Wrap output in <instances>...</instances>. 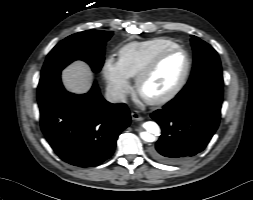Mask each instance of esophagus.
<instances>
[{"mask_svg":"<svg viewBox=\"0 0 253 200\" xmlns=\"http://www.w3.org/2000/svg\"><path fill=\"white\" fill-rule=\"evenodd\" d=\"M131 118L134 121H142L143 120V117L137 112H132L131 113Z\"/></svg>","mask_w":253,"mask_h":200,"instance_id":"esophagus-1","label":"esophagus"}]
</instances>
